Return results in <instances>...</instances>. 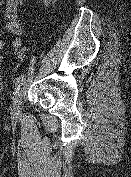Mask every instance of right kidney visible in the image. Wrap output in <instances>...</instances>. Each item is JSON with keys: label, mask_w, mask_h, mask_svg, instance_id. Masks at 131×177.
Returning <instances> with one entry per match:
<instances>
[{"label": "right kidney", "mask_w": 131, "mask_h": 177, "mask_svg": "<svg viewBox=\"0 0 131 177\" xmlns=\"http://www.w3.org/2000/svg\"><path fill=\"white\" fill-rule=\"evenodd\" d=\"M56 1V0H44L45 5H49L51 2Z\"/></svg>", "instance_id": "right-kidney-1"}]
</instances>
